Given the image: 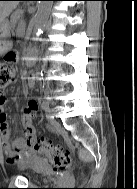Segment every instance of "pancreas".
Wrapping results in <instances>:
<instances>
[{
  "mask_svg": "<svg viewBox=\"0 0 137 189\" xmlns=\"http://www.w3.org/2000/svg\"><path fill=\"white\" fill-rule=\"evenodd\" d=\"M22 14H23V10L21 9H17L15 12H13V14L11 15V22L13 27H15V24L18 21H22Z\"/></svg>",
  "mask_w": 137,
  "mask_h": 189,
  "instance_id": "pancreas-1",
  "label": "pancreas"
}]
</instances>
